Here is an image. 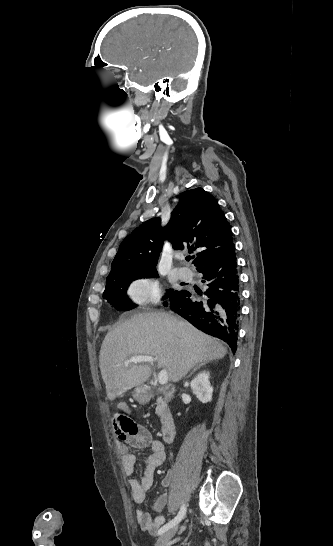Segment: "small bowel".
<instances>
[{
    "instance_id": "c3829d8e",
    "label": "small bowel",
    "mask_w": 333,
    "mask_h": 546,
    "mask_svg": "<svg viewBox=\"0 0 333 546\" xmlns=\"http://www.w3.org/2000/svg\"><path fill=\"white\" fill-rule=\"evenodd\" d=\"M118 411L131 415V410L126 401H122L120 403L118 406ZM117 447L121 455V463L124 472L127 475L133 474L136 462V457L130 452V447H149L150 449V454L145 460L142 477L139 480H129L132 500L136 505H141L144 503L147 492L153 485L154 473L156 469L165 460L164 444L159 440L153 439L151 433L145 427L135 424V430L129 437L128 441L119 442ZM164 486H169V482L167 480L164 481ZM165 500V497L159 498L154 505L155 510L160 511L165 504ZM136 521L143 530L149 533H155L157 529L164 524L166 517L163 515L152 517L149 513L144 512L141 509H137Z\"/></svg>"
}]
</instances>
